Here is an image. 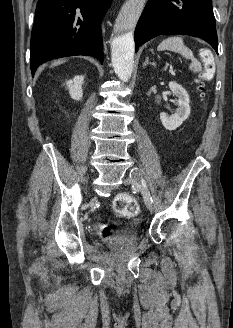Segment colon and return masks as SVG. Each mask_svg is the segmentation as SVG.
<instances>
[{
    "mask_svg": "<svg viewBox=\"0 0 233 328\" xmlns=\"http://www.w3.org/2000/svg\"><path fill=\"white\" fill-rule=\"evenodd\" d=\"M203 61V71L198 79V91L203 94V90L207 81H209L214 74V58L211 52L203 51L201 54ZM113 209L116 214L122 217H134L139 212V204L135 198L128 194L118 195L113 202ZM113 231L111 228H104L102 236L105 240H112Z\"/></svg>",
    "mask_w": 233,
    "mask_h": 328,
    "instance_id": "colon-1",
    "label": "colon"
}]
</instances>
